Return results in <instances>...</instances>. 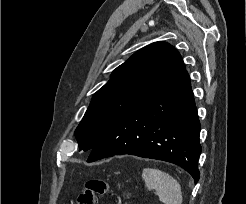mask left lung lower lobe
Here are the masks:
<instances>
[{"label": "left lung lower lobe", "mask_w": 246, "mask_h": 204, "mask_svg": "<svg viewBox=\"0 0 246 204\" xmlns=\"http://www.w3.org/2000/svg\"><path fill=\"white\" fill-rule=\"evenodd\" d=\"M200 122L184 70L119 119L94 145L87 162L131 154L174 163L199 180Z\"/></svg>", "instance_id": "0a47b994"}]
</instances>
